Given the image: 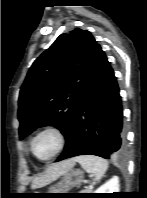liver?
I'll return each instance as SVG.
<instances>
[{
	"label": "liver",
	"mask_w": 147,
	"mask_h": 198,
	"mask_svg": "<svg viewBox=\"0 0 147 198\" xmlns=\"http://www.w3.org/2000/svg\"><path fill=\"white\" fill-rule=\"evenodd\" d=\"M75 162L76 160L74 158L52 164L45 170L44 173L33 179L31 188L36 189L51 183L61 175L66 174L75 165Z\"/></svg>",
	"instance_id": "obj_1"
}]
</instances>
